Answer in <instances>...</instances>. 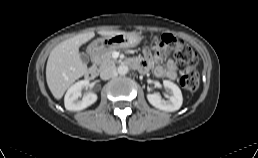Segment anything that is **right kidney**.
I'll list each match as a JSON object with an SVG mask.
<instances>
[{"instance_id":"right-kidney-1","label":"right kidney","mask_w":258,"mask_h":158,"mask_svg":"<svg viewBox=\"0 0 258 158\" xmlns=\"http://www.w3.org/2000/svg\"><path fill=\"white\" fill-rule=\"evenodd\" d=\"M89 81L81 80L72 85L65 94L64 104L65 108L69 111H80L83 110L97 101V95L93 92H88L86 95L82 96L81 91L84 88H88Z\"/></svg>"}]
</instances>
